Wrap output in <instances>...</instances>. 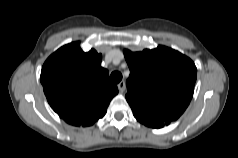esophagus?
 <instances>
[{
	"instance_id": "obj_1",
	"label": "esophagus",
	"mask_w": 238,
	"mask_h": 158,
	"mask_svg": "<svg viewBox=\"0 0 238 158\" xmlns=\"http://www.w3.org/2000/svg\"><path fill=\"white\" fill-rule=\"evenodd\" d=\"M117 86H118V89H119L120 92L125 91L126 84H125L124 80L120 81Z\"/></svg>"
}]
</instances>
